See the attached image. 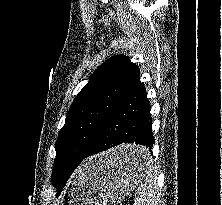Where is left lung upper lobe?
Wrapping results in <instances>:
<instances>
[{"mask_svg":"<svg viewBox=\"0 0 222 205\" xmlns=\"http://www.w3.org/2000/svg\"><path fill=\"white\" fill-rule=\"evenodd\" d=\"M138 70L124 55L111 57L96 69L77 94L55 144L52 185L56 189L66 176V169L61 168L63 160L69 155L81 157L88 151L107 115Z\"/></svg>","mask_w":222,"mask_h":205,"instance_id":"5c2ea615","label":"left lung upper lobe"}]
</instances>
